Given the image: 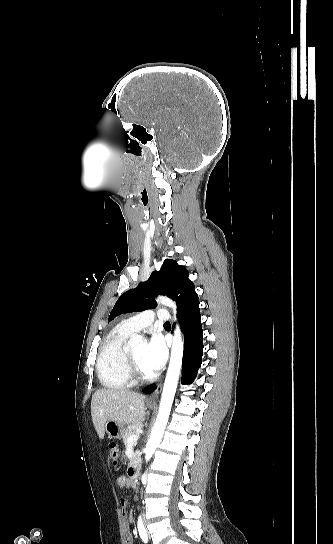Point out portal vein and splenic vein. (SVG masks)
Masks as SVG:
<instances>
[{
    "label": "portal vein and splenic vein",
    "mask_w": 333,
    "mask_h": 544,
    "mask_svg": "<svg viewBox=\"0 0 333 544\" xmlns=\"http://www.w3.org/2000/svg\"><path fill=\"white\" fill-rule=\"evenodd\" d=\"M138 434H133L128 438V444H133L138 440Z\"/></svg>",
    "instance_id": "1"
}]
</instances>
